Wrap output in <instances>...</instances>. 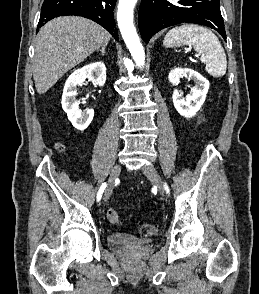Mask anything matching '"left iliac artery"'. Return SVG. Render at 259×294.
<instances>
[{
    "label": "left iliac artery",
    "mask_w": 259,
    "mask_h": 294,
    "mask_svg": "<svg viewBox=\"0 0 259 294\" xmlns=\"http://www.w3.org/2000/svg\"><path fill=\"white\" fill-rule=\"evenodd\" d=\"M164 188H165V190H166L167 193L170 192V191H169V188H168V186H167L166 184H164Z\"/></svg>",
    "instance_id": "obj_1"
}]
</instances>
